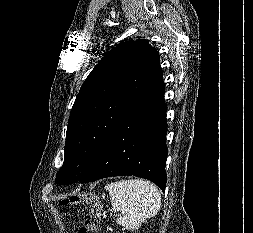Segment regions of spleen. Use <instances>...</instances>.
Listing matches in <instances>:
<instances>
[{
    "mask_svg": "<svg viewBox=\"0 0 253 233\" xmlns=\"http://www.w3.org/2000/svg\"><path fill=\"white\" fill-rule=\"evenodd\" d=\"M110 194L112 209L121 212L117 224L128 230H137L147 219L155 216L161 206L158 188L144 180H120L105 186Z\"/></svg>",
    "mask_w": 253,
    "mask_h": 233,
    "instance_id": "3e777b00",
    "label": "spleen"
}]
</instances>
